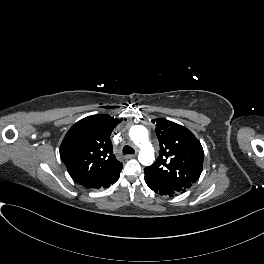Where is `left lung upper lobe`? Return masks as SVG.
<instances>
[{"mask_svg":"<svg viewBox=\"0 0 264 264\" xmlns=\"http://www.w3.org/2000/svg\"><path fill=\"white\" fill-rule=\"evenodd\" d=\"M160 155L144 169L145 178L177 193L188 190L200 177L204 159L201 143L186 127L156 119Z\"/></svg>","mask_w":264,"mask_h":264,"instance_id":"obj_1","label":"left lung upper lobe"}]
</instances>
